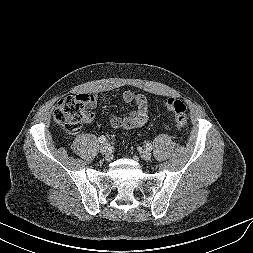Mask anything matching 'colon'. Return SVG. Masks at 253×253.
<instances>
[{
    "mask_svg": "<svg viewBox=\"0 0 253 253\" xmlns=\"http://www.w3.org/2000/svg\"><path fill=\"white\" fill-rule=\"evenodd\" d=\"M164 107L174 114L175 124L180 129H185L188 123L186 105L174 98L164 101ZM93 114L89 101L84 95L66 96L62 98L54 112V123L68 134H75L80 126L92 119Z\"/></svg>",
    "mask_w": 253,
    "mask_h": 253,
    "instance_id": "colon-1",
    "label": "colon"
}]
</instances>
